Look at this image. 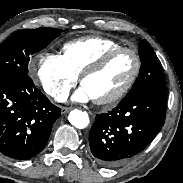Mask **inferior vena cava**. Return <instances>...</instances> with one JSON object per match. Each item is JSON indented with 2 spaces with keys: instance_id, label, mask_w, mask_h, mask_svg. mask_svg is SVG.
Instances as JSON below:
<instances>
[{
  "instance_id": "602c4592",
  "label": "inferior vena cava",
  "mask_w": 183,
  "mask_h": 183,
  "mask_svg": "<svg viewBox=\"0 0 183 183\" xmlns=\"http://www.w3.org/2000/svg\"><path fill=\"white\" fill-rule=\"evenodd\" d=\"M67 98H68V94L63 93L58 95L56 99L58 102H64L67 100Z\"/></svg>"
}]
</instances>
